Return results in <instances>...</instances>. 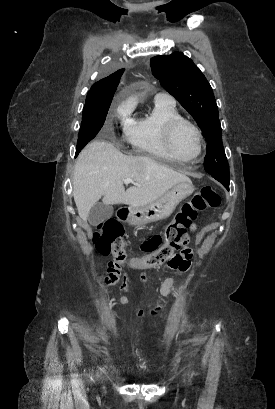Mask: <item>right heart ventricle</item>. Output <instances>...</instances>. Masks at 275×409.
<instances>
[{
	"mask_svg": "<svg viewBox=\"0 0 275 409\" xmlns=\"http://www.w3.org/2000/svg\"><path fill=\"white\" fill-rule=\"evenodd\" d=\"M178 118L174 106L156 104L149 116L133 121L127 129L131 151L151 158L171 157L165 146V127Z\"/></svg>",
	"mask_w": 275,
	"mask_h": 409,
	"instance_id": "e07e8e85",
	"label": "right heart ventricle"
}]
</instances>
